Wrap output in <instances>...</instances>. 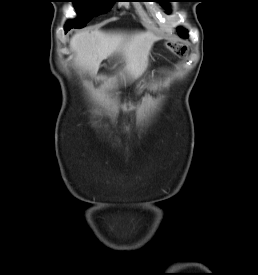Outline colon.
I'll return each instance as SVG.
<instances>
[{"label": "colon", "mask_w": 258, "mask_h": 275, "mask_svg": "<svg viewBox=\"0 0 258 275\" xmlns=\"http://www.w3.org/2000/svg\"><path fill=\"white\" fill-rule=\"evenodd\" d=\"M168 50H170L174 55L182 57L187 53V46L180 42H168L166 44Z\"/></svg>", "instance_id": "obj_1"}]
</instances>
